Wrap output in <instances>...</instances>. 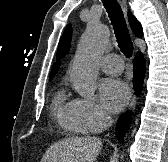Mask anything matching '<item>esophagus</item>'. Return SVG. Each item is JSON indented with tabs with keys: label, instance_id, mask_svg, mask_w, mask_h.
Here are the masks:
<instances>
[{
	"label": "esophagus",
	"instance_id": "34e87169",
	"mask_svg": "<svg viewBox=\"0 0 168 162\" xmlns=\"http://www.w3.org/2000/svg\"><path fill=\"white\" fill-rule=\"evenodd\" d=\"M120 5L122 6L124 12H126L127 10V6H126V0H119ZM136 104V97L134 96L131 102V108L134 107Z\"/></svg>",
	"mask_w": 168,
	"mask_h": 162
}]
</instances>
